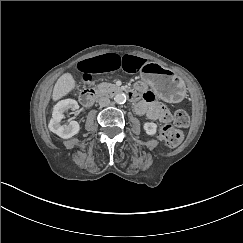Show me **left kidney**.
<instances>
[{
    "label": "left kidney",
    "instance_id": "left-kidney-1",
    "mask_svg": "<svg viewBox=\"0 0 243 243\" xmlns=\"http://www.w3.org/2000/svg\"><path fill=\"white\" fill-rule=\"evenodd\" d=\"M157 125L153 122H146L144 124V130L148 135H154L156 133Z\"/></svg>",
    "mask_w": 243,
    "mask_h": 243
}]
</instances>
